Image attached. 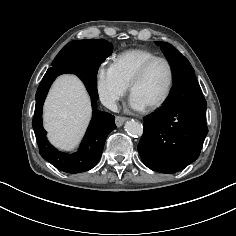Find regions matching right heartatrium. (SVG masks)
Masks as SVG:
<instances>
[{
    "instance_id": "obj_1",
    "label": "right heart atrium",
    "mask_w": 236,
    "mask_h": 236,
    "mask_svg": "<svg viewBox=\"0 0 236 236\" xmlns=\"http://www.w3.org/2000/svg\"><path fill=\"white\" fill-rule=\"evenodd\" d=\"M95 88L101 101L109 108H115L128 91V86L119 78L113 66L106 64H101L95 72Z\"/></svg>"
}]
</instances>
